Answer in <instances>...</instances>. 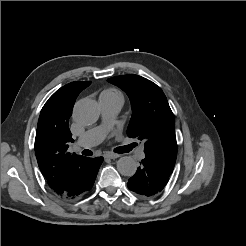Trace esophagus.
Returning <instances> with one entry per match:
<instances>
[{"label":"esophagus","mask_w":246,"mask_h":246,"mask_svg":"<svg viewBox=\"0 0 246 246\" xmlns=\"http://www.w3.org/2000/svg\"><path fill=\"white\" fill-rule=\"evenodd\" d=\"M104 157L108 159H116V158H119L120 155L116 153H112V152H107L104 154Z\"/></svg>","instance_id":"obj_1"}]
</instances>
